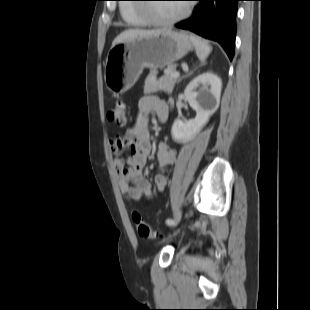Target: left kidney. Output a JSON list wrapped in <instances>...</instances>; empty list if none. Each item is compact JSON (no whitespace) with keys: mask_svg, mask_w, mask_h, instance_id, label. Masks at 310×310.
<instances>
[{"mask_svg":"<svg viewBox=\"0 0 310 310\" xmlns=\"http://www.w3.org/2000/svg\"><path fill=\"white\" fill-rule=\"evenodd\" d=\"M198 87H202V89L196 91ZM221 89V79L211 72L197 76L187 85L184 95L190 106L196 111V117L191 120L176 119L174 121L171 128L174 141L191 140L207 124L210 116L219 106Z\"/></svg>","mask_w":310,"mask_h":310,"instance_id":"5707ae66","label":"left kidney"}]
</instances>
